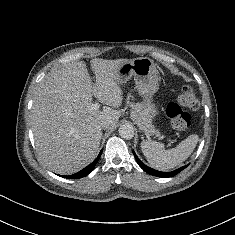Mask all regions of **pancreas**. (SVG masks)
<instances>
[{
	"label": "pancreas",
	"mask_w": 235,
	"mask_h": 235,
	"mask_svg": "<svg viewBox=\"0 0 235 235\" xmlns=\"http://www.w3.org/2000/svg\"><path fill=\"white\" fill-rule=\"evenodd\" d=\"M131 119L147 134L156 133L155 127L152 125V120L149 119L140 104L130 103Z\"/></svg>",
	"instance_id": "pancreas-1"
}]
</instances>
